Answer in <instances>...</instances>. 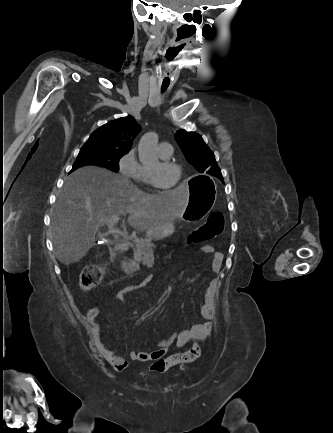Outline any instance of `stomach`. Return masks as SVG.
<instances>
[{
	"mask_svg": "<svg viewBox=\"0 0 333 433\" xmlns=\"http://www.w3.org/2000/svg\"><path fill=\"white\" fill-rule=\"evenodd\" d=\"M217 187L207 175H195L192 178L189 202L185 212L180 215L188 225H195L198 219L204 218L214 207ZM173 231L172 223L166 224L161 231L150 234L152 237L163 238Z\"/></svg>",
	"mask_w": 333,
	"mask_h": 433,
	"instance_id": "0dacf381",
	"label": "stomach"
}]
</instances>
